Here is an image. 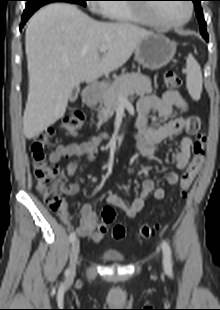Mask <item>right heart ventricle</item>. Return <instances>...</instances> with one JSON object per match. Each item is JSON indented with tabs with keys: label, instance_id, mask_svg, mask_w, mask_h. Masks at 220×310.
Returning a JSON list of instances; mask_svg holds the SVG:
<instances>
[{
	"label": "right heart ventricle",
	"instance_id": "obj_1",
	"mask_svg": "<svg viewBox=\"0 0 220 310\" xmlns=\"http://www.w3.org/2000/svg\"><path fill=\"white\" fill-rule=\"evenodd\" d=\"M120 1V0H117ZM122 1V0H121ZM102 13L109 19L122 23L152 24L151 20L140 16L136 10L129 5L106 4L103 5Z\"/></svg>",
	"mask_w": 220,
	"mask_h": 310
}]
</instances>
